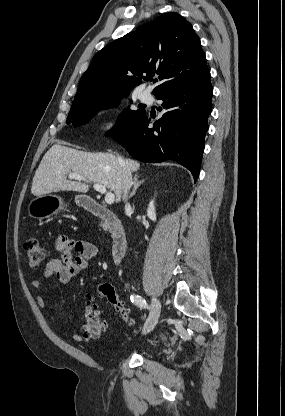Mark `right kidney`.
I'll list each match as a JSON object with an SVG mask.
<instances>
[{
	"mask_svg": "<svg viewBox=\"0 0 285 416\" xmlns=\"http://www.w3.org/2000/svg\"><path fill=\"white\" fill-rule=\"evenodd\" d=\"M147 216H148V218H150V220H153V222H155V220H156V212H155L153 200H152V202H150V204H149V206L147 208Z\"/></svg>",
	"mask_w": 285,
	"mask_h": 416,
	"instance_id": "ca27d5eb",
	"label": "right kidney"
}]
</instances>
